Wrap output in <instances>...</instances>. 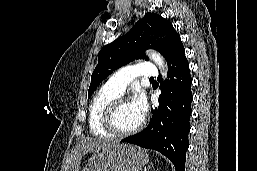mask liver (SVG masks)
<instances>
[{"instance_id":"liver-1","label":"liver","mask_w":257,"mask_h":171,"mask_svg":"<svg viewBox=\"0 0 257 171\" xmlns=\"http://www.w3.org/2000/svg\"><path fill=\"white\" fill-rule=\"evenodd\" d=\"M116 143L117 141L113 140H103L96 138L83 139L70 155L66 171H79L80 160L83 155L88 152H96L105 149Z\"/></svg>"}]
</instances>
